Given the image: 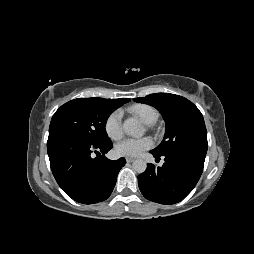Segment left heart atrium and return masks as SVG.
<instances>
[{"label":"left heart atrium","instance_id":"obj_1","mask_svg":"<svg viewBox=\"0 0 254 254\" xmlns=\"http://www.w3.org/2000/svg\"><path fill=\"white\" fill-rule=\"evenodd\" d=\"M152 146L149 138H126L116 146V151L123 156H138Z\"/></svg>","mask_w":254,"mask_h":254}]
</instances>
